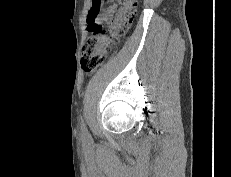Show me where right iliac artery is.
<instances>
[{
	"label": "right iliac artery",
	"instance_id": "right-iliac-artery-1",
	"mask_svg": "<svg viewBox=\"0 0 231 177\" xmlns=\"http://www.w3.org/2000/svg\"><path fill=\"white\" fill-rule=\"evenodd\" d=\"M82 130L85 132L86 131V128H85V125L84 123L82 122Z\"/></svg>",
	"mask_w": 231,
	"mask_h": 177
}]
</instances>
